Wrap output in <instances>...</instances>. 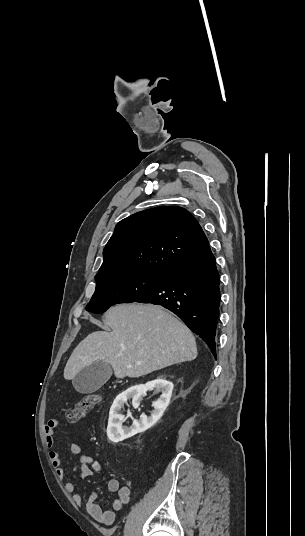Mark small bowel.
I'll return each mask as SVG.
<instances>
[{
    "label": "small bowel",
    "mask_w": 305,
    "mask_h": 536,
    "mask_svg": "<svg viewBox=\"0 0 305 536\" xmlns=\"http://www.w3.org/2000/svg\"><path fill=\"white\" fill-rule=\"evenodd\" d=\"M57 422L55 419L50 418L43 426V431L46 433L45 444L49 449V458L55 468V473L58 479L63 480L65 478V471L62 467V460L58 451L54 449L55 443V427ZM70 452L73 455L78 456L79 464L81 466L80 476L82 479L90 477L93 473H100L101 466L98 461L94 460L90 455L82 452V446L79 443H73L70 446ZM109 493H115L116 497L113 499L110 508H104L98 503V494L92 492L86 502V510L88 514L97 522L104 525H112L116 518V512L121 511L131 499V492L129 487L121 486L117 479H109L106 483ZM65 491L72 495L73 501L76 504H81L82 496L75 493V483L67 481L65 483Z\"/></svg>",
    "instance_id": "small-bowel-1"
}]
</instances>
